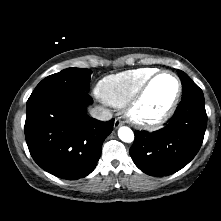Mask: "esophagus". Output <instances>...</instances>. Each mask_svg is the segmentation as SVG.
<instances>
[{
    "label": "esophagus",
    "instance_id": "34e87169",
    "mask_svg": "<svg viewBox=\"0 0 221 221\" xmlns=\"http://www.w3.org/2000/svg\"><path fill=\"white\" fill-rule=\"evenodd\" d=\"M124 124V121L121 118H117L114 121V128H118Z\"/></svg>",
    "mask_w": 221,
    "mask_h": 221
}]
</instances>
